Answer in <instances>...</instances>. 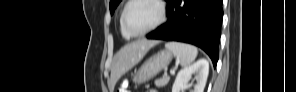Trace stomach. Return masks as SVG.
<instances>
[{"label": "stomach", "instance_id": "1", "mask_svg": "<svg viewBox=\"0 0 296 92\" xmlns=\"http://www.w3.org/2000/svg\"><path fill=\"white\" fill-rule=\"evenodd\" d=\"M173 54L170 50H161L146 60L133 78V82L141 84L155 77L171 62Z\"/></svg>", "mask_w": 296, "mask_h": 92}]
</instances>
